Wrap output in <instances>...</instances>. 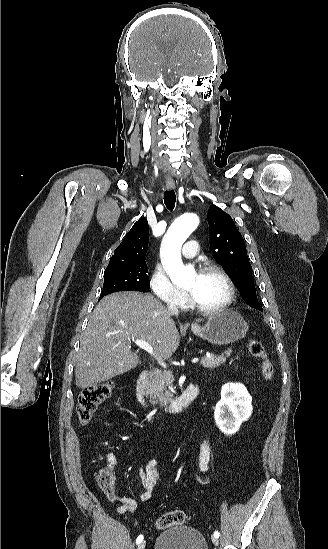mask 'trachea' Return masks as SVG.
Wrapping results in <instances>:
<instances>
[{"instance_id": "3493384b", "label": "trachea", "mask_w": 328, "mask_h": 549, "mask_svg": "<svg viewBox=\"0 0 328 549\" xmlns=\"http://www.w3.org/2000/svg\"><path fill=\"white\" fill-rule=\"evenodd\" d=\"M164 203L168 210L173 211L176 203V194L174 190H167L164 193Z\"/></svg>"}]
</instances>
